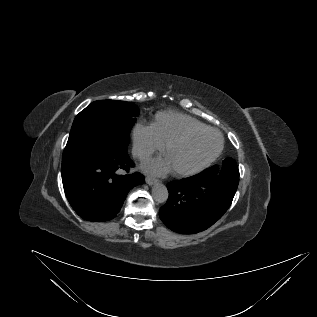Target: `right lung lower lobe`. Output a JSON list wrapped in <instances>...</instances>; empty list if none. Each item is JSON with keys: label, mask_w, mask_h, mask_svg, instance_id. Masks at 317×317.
Listing matches in <instances>:
<instances>
[{"label": "right lung lower lobe", "mask_w": 317, "mask_h": 317, "mask_svg": "<svg viewBox=\"0 0 317 317\" xmlns=\"http://www.w3.org/2000/svg\"><path fill=\"white\" fill-rule=\"evenodd\" d=\"M134 163L126 152L101 153L62 169L65 194L76 213L88 221H108L120 211L128 191L144 176L129 172Z\"/></svg>", "instance_id": "obj_1"}]
</instances>
